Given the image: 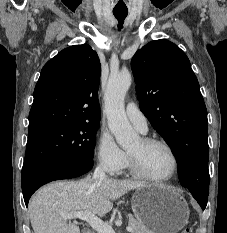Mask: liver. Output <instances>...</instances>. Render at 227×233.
Here are the masks:
<instances>
[{"label":"liver","mask_w":227,"mask_h":233,"mask_svg":"<svg viewBox=\"0 0 227 233\" xmlns=\"http://www.w3.org/2000/svg\"><path fill=\"white\" fill-rule=\"evenodd\" d=\"M148 185L112 178L50 183L36 192L29 202L32 228L34 233H80L79 227L64 215L89 211L103 216L112 209L114 200L130 190Z\"/></svg>","instance_id":"6515ba94"}]
</instances>
